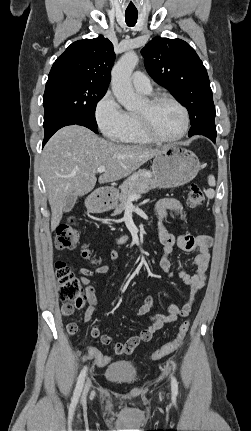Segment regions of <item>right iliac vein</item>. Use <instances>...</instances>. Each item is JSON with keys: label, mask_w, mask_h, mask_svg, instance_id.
Instances as JSON below:
<instances>
[{"label": "right iliac vein", "mask_w": 251, "mask_h": 431, "mask_svg": "<svg viewBox=\"0 0 251 431\" xmlns=\"http://www.w3.org/2000/svg\"><path fill=\"white\" fill-rule=\"evenodd\" d=\"M89 382H87L86 384H85V387H84V390H83V395H82V397L83 398H85L86 397V395H87V393H88V391H89Z\"/></svg>", "instance_id": "right-iliac-vein-1"}]
</instances>
